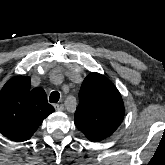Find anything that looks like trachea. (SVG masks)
I'll return each instance as SVG.
<instances>
[{
	"instance_id": "3493384b",
	"label": "trachea",
	"mask_w": 165,
	"mask_h": 165,
	"mask_svg": "<svg viewBox=\"0 0 165 165\" xmlns=\"http://www.w3.org/2000/svg\"><path fill=\"white\" fill-rule=\"evenodd\" d=\"M60 99V94L59 92L57 91H53L51 94H50V97H49V101L51 103H57Z\"/></svg>"
}]
</instances>
